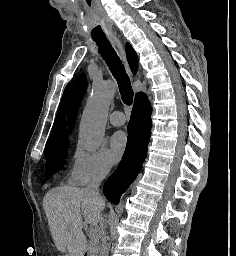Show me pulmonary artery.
Wrapping results in <instances>:
<instances>
[{"label": "pulmonary artery", "instance_id": "e3ab8cb5", "mask_svg": "<svg viewBox=\"0 0 236 256\" xmlns=\"http://www.w3.org/2000/svg\"><path fill=\"white\" fill-rule=\"evenodd\" d=\"M121 112L115 111L109 116V121L114 126H121L125 123V119L121 117Z\"/></svg>", "mask_w": 236, "mask_h": 256}]
</instances>
